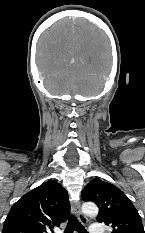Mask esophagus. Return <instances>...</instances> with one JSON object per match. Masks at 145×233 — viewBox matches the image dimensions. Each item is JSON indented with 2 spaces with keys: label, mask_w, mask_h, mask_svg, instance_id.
<instances>
[{
  "label": "esophagus",
  "mask_w": 145,
  "mask_h": 233,
  "mask_svg": "<svg viewBox=\"0 0 145 233\" xmlns=\"http://www.w3.org/2000/svg\"><path fill=\"white\" fill-rule=\"evenodd\" d=\"M71 206H72V209L74 210V212H75L77 218H78L82 223L86 224L88 220H87L86 216H85V215L82 213V211H81V205H80V203H79L78 201H73V202L71 203Z\"/></svg>",
  "instance_id": "1"
}]
</instances>
